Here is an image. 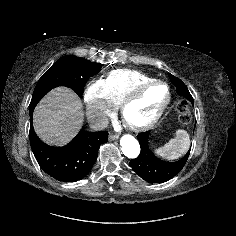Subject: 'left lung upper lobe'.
<instances>
[{"label":"left lung upper lobe","instance_id":"1","mask_svg":"<svg viewBox=\"0 0 236 236\" xmlns=\"http://www.w3.org/2000/svg\"><path fill=\"white\" fill-rule=\"evenodd\" d=\"M169 78L175 85L178 94L185 96L188 100L192 98L188 88L180 79H178L177 77L173 76L170 73H169Z\"/></svg>","mask_w":236,"mask_h":236}]
</instances>
